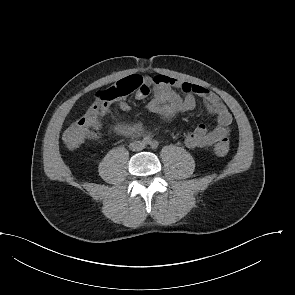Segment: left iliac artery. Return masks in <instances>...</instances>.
I'll return each mask as SVG.
<instances>
[{"instance_id":"obj_1","label":"left iliac artery","mask_w":295,"mask_h":295,"mask_svg":"<svg viewBox=\"0 0 295 295\" xmlns=\"http://www.w3.org/2000/svg\"><path fill=\"white\" fill-rule=\"evenodd\" d=\"M150 146L152 149H157L159 146V143H158V141L153 140V141H151Z\"/></svg>"}]
</instances>
